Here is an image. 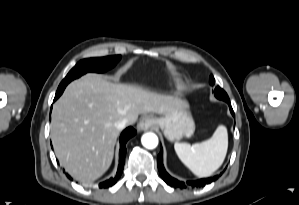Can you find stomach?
<instances>
[{"instance_id": "0dacf381", "label": "stomach", "mask_w": 299, "mask_h": 205, "mask_svg": "<svg viewBox=\"0 0 299 205\" xmlns=\"http://www.w3.org/2000/svg\"><path fill=\"white\" fill-rule=\"evenodd\" d=\"M155 120L169 141L179 140L183 136L189 137L195 130V123L187 102H182L177 111Z\"/></svg>"}]
</instances>
